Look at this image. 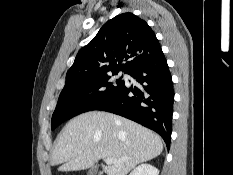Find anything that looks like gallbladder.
Returning a JSON list of instances; mask_svg holds the SVG:
<instances>
[{
	"instance_id": "1",
	"label": "gallbladder",
	"mask_w": 233,
	"mask_h": 175,
	"mask_svg": "<svg viewBox=\"0 0 233 175\" xmlns=\"http://www.w3.org/2000/svg\"><path fill=\"white\" fill-rule=\"evenodd\" d=\"M97 172H98V167L97 166H93L88 171V175H96Z\"/></svg>"
}]
</instances>
